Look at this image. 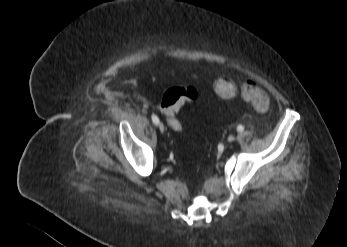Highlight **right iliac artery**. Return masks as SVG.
Masks as SVG:
<instances>
[{"label":"right iliac artery","mask_w":347,"mask_h":247,"mask_svg":"<svg viewBox=\"0 0 347 247\" xmlns=\"http://www.w3.org/2000/svg\"><path fill=\"white\" fill-rule=\"evenodd\" d=\"M151 118H152V121H153V123L155 124V125H158L159 124V119H158V117L156 116V115H152L151 116Z\"/></svg>","instance_id":"82829eb1"}]
</instances>
